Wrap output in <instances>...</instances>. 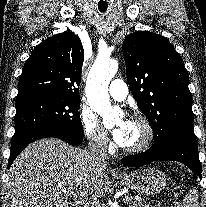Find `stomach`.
Segmentation results:
<instances>
[{
	"instance_id": "0dacf381",
	"label": "stomach",
	"mask_w": 206,
	"mask_h": 207,
	"mask_svg": "<svg viewBox=\"0 0 206 207\" xmlns=\"http://www.w3.org/2000/svg\"><path fill=\"white\" fill-rule=\"evenodd\" d=\"M120 182L136 193L153 196L166 184L165 175L155 168L138 169L131 174L119 177Z\"/></svg>"
}]
</instances>
